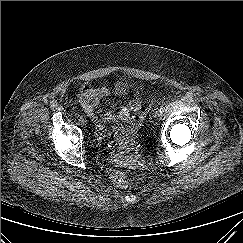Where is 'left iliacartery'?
<instances>
[{"mask_svg": "<svg viewBox=\"0 0 243 243\" xmlns=\"http://www.w3.org/2000/svg\"><path fill=\"white\" fill-rule=\"evenodd\" d=\"M164 112V107L160 108V113L162 114Z\"/></svg>", "mask_w": 243, "mask_h": 243, "instance_id": "44dca946", "label": "left iliac artery"}]
</instances>
